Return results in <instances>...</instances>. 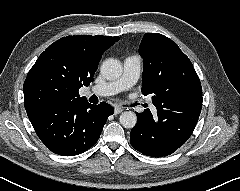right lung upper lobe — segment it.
<instances>
[{
	"instance_id": "1",
	"label": "right lung upper lobe",
	"mask_w": 240,
	"mask_h": 191,
	"mask_svg": "<svg viewBox=\"0 0 240 191\" xmlns=\"http://www.w3.org/2000/svg\"><path fill=\"white\" fill-rule=\"evenodd\" d=\"M118 36L77 35L51 44L37 59L24 82L26 111L59 101H87L79 88L88 86L104 51Z\"/></svg>"
}]
</instances>
